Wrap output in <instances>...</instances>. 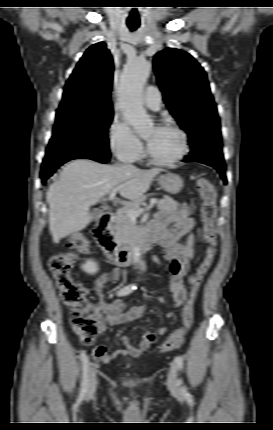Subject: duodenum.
Listing matches in <instances>:
<instances>
[{"instance_id":"410a0bca","label":"duodenum","mask_w":273,"mask_h":430,"mask_svg":"<svg viewBox=\"0 0 273 430\" xmlns=\"http://www.w3.org/2000/svg\"><path fill=\"white\" fill-rule=\"evenodd\" d=\"M112 216L111 212L101 216L94 228V236L107 258L113 264L125 267L133 262L137 253L151 250L156 244L157 238L153 233L146 232L134 238L129 245L118 244L110 231Z\"/></svg>"}]
</instances>
